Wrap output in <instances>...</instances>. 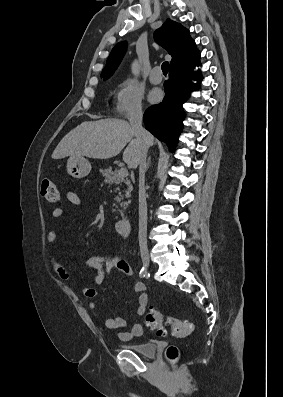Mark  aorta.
I'll return each mask as SVG.
<instances>
[{
  "instance_id": "762f6f07",
  "label": "aorta",
  "mask_w": 283,
  "mask_h": 397,
  "mask_svg": "<svg viewBox=\"0 0 283 397\" xmlns=\"http://www.w3.org/2000/svg\"><path fill=\"white\" fill-rule=\"evenodd\" d=\"M131 70H132V73H133L135 76H138V75H139L140 69H139V64H138L137 61L133 62L132 67H131Z\"/></svg>"
}]
</instances>
